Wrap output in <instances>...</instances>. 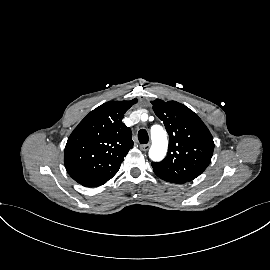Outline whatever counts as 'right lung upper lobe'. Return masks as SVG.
Masks as SVG:
<instances>
[{
  "label": "right lung upper lobe",
  "instance_id": "obj_1",
  "mask_svg": "<svg viewBox=\"0 0 270 270\" xmlns=\"http://www.w3.org/2000/svg\"><path fill=\"white\" fill-rule=\"evenodd\" d=\"M135 103L136 98L104 103L91 111L71 133L64 151V164L79 184L98 187L118 172L133 147L131 130L122 119Z\"/></svg>",
  "mask_w": 270,
  "mask_h": 270
}]
</instances>
